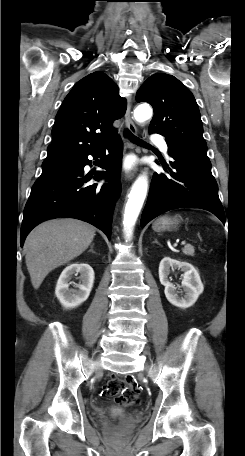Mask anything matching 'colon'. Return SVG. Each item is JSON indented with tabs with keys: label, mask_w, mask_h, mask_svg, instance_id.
<instances>
[{
	"label": "colon",
	"mask_w": 245,
	"mask_h": 456,
	"mask_svg": "<svg viewBox=\"0 0 245 456\" xmlns=\"http://www.w3.org/2000/svg\"><path fill=\"white\" fill-rule=\"evenodd\" d=\"M141 388L132 377H109L104 386V394L123 406H134L140 402Z\"/></svg>",
	"instance_id": "colon-1"
}]
</instances>
